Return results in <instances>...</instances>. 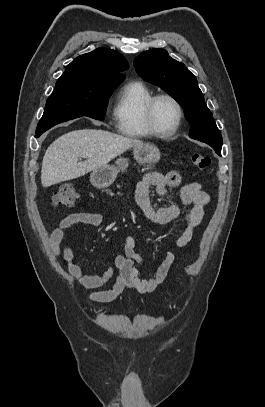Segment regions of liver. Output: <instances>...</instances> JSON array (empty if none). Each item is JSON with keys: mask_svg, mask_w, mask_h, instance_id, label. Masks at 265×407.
I'll return each instance as SVG.
<instances>
[{"mask_svg": "<svg viewBox=\"0 0 265 407\" xmlns=\"http://www.w3.org/2000/svg\"><path fill=\"white\" fill-rule=\"evenodd\" d=\"M139 140L108 131L82 129L58 137L45 152L41 168V183L49 187L84 176L107 165L127 149L141 145ZM85 158L84 162H78Z\"/></svg>", "mask_w": 265, "mask_h": 407, "instance_id": "6515ba94", "label": "liver"}]
</instances>
